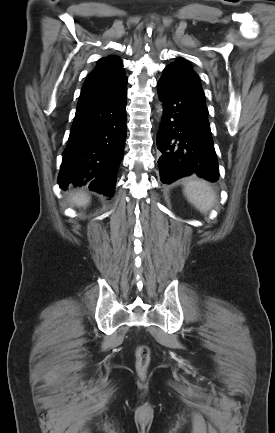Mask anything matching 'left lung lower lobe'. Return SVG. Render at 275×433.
<instances>
[{
  "mask_svg": "<svg viewBox=\"0 0 275 433\" xmlns=\"http://www.w3.org/2000/svg\"><path fill=\"white\" fill-rule=\"evenodd\" d=\"M157 91L165 106L157 137L161 182L170 184L190 175L217 181L219 168L205 102L163 77Z\"/></svg>",
  "mask_w": 275,
  "mask_h": 433,
  "instance_id": "0a47b994",
  "label": "left lung lower lobe"
}]
</instances>
